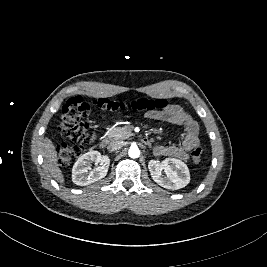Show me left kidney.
Here are the masks:
<instances>
[{"label": "left kidney", "instance_id": "left-kidney-1", "mask_svg": "<svg viewBox=\"0 0 267 267\" xmlns=\"http://www.w3.org/2000/svg\"><path fill=\"white\" fill-rule=\"evenodd\" d=\"M148 169L152 179L166 189L178 190L187 186L190 182L187 165L175 158H166L162 162L150 160ZM162 171L165 172L166 176L162 174Z\"/></svg>", "mask_w": 267, "mask_h": 267}]
</instances>
